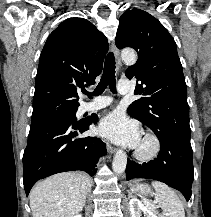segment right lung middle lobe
I'll use <instances>...</instances> for the list:
<instances>
[{
	"label": "right lung middle lobe",
	"instance_id": "right-lung-middle-lobe-1",
	"mask_svg": "<svg viewBox=\"0 0 211 217\" xmlns=\"http://www.w3.org/2000/svg\"><path fill=\"white\" fill-rule=\"evenodd\" d=\"M77 109L65 110V111H58L46 114L36 119H31L32 122H45V121H63V122H71L75 123Z\"/></svg>",
	"mask_w": 211,
	"mask_h": 217
}]
</instances>
